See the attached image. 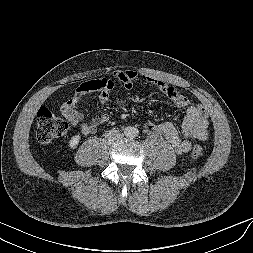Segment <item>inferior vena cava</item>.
<instances>
[{
  "label": "inferior vena cava",
  "instance_id": "obj_1",
  "mask_svg": "<svg viewBox=\"0 0 253 253\" xmlns=\"http://www.w3.org/2000/svg\"><path fill=\"white\" fill-rule=\"evenodd\" d=\"M122 136L123 134L117 129H112L105 133V137L109 141L119 140Z\"/></svg>",
  "mask_w": 253,
  "mask_h": 253
}]
</instances>
